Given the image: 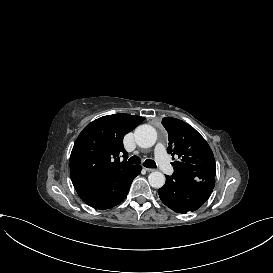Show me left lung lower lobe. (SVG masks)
<instances>
[{"instance_id": "obj_1", "label": "left lung lower lobe", "mask_w": 273, "mask_h": 273, "mask_svg": "<svg viewBox=\"0 0 273 273\" xmlns=\"http://www.w3.org/2000/svg\"><path fill=\"white\" fill-rule=\"evenodd\" d=\"M215 179L198 181L177 173L166 175L165 185L158 190L162 202L178 213L200 208L212 193Z\"/></svg>"}]
</instances>
